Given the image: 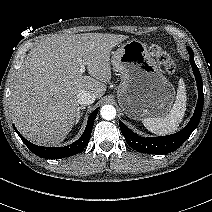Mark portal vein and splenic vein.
Wrapping results in <instances>:
<instances>
[{"instance_id": "portal-vein-and-splenic-vein-1", "label": "portal vein and splenic vein", "mask_w": 212, "mask_h": 212, "mask_svg": "<svg viewBox=\"0 0 212 212\" xmlns=\"http://www.w3.org/2000/svg\"><path fill=\"white\" fill-rule=\"evenodd\" d=\"M78 61L81 64L80 71H81V73H84L85 72V63L83 62V60L81 58H79Z\"/></svg>"}]
</instances>
